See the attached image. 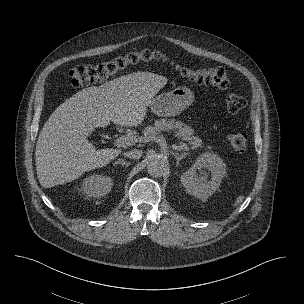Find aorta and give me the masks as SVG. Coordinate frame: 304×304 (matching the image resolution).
<instances>
[{"label": "aorta", "instance_id": "aorta-1", "mask_svg": "<svg viewBox=\"0 0 304 304\" xmlns=\"http://www.w3.org/2000/svg\"><path fill=\"white\" fill-rule=\"evenodd\" d=\"M168 168L167 161L161 157L151 158L147 165L148 173L154 177L162 176Z\"/></svg>", "mask_w": 304, "mask_h": 304}]
</instances>
